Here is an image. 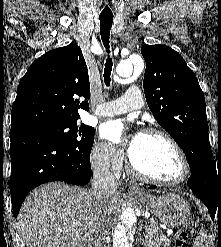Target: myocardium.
Segmentation results:
<instances>
[{"instance_id": "obj_1", "label": "myocardium", "mask_w": 221, "mask_h": 247, "mask_svg": "<svg viewBox=\"0 0 221 247\" xmlns=\"http://www.w3.org/2000/svg\"><path fill=\"white\" fill-rule=\"evenodd\" d=\"M141 133L145 135H149V136L160 137L166 140L169 144H171L181 159L182 167H183V175L177 180H163V179L157 178L151 174L144 172L142 169H140L136 165L131 154L129 153L128 154V165H129V168L132 174H134L136 177L142 180L153 182L159 185L177 186V185H182L186 183L191 176V167H190L189 160L186 156V153L184 152L180 144L169 133L163 130H160V129L147 128V129H144Z\"/></svg>"}]
</instances>
